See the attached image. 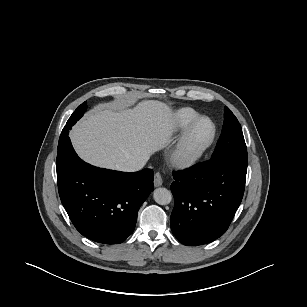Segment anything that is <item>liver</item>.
<instances>
[{"instance_id":"6515ba94","label":"liver","mask_w":307,"mask_h":307,"mask_svg":"<svg viewBox=\"0 0 307 307\" xmlns=\"http://www.w3.org/2000/svg\"><path fill=\"white\" fill-rule=\"evenodd\" d=\"M174 129L170 107L145 100L134 108L95 107L72 129L70 138L84 161L119 170L129 163L147 161L170 142Z\"/></svg>"}]
</instances>
